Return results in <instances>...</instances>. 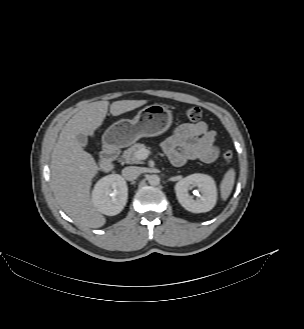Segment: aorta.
Wrapping results in <instances>:
<instances>
[{
    "mask_svg": "<svg viewBox=\"0 0 304 329\" xmlns=\"http://www.w3.org/2000/svg\"><path fill=\"white\" fill-rule=\"evenodd\" d=\"M148 182L152 186H157L160 184V177L156 174L150 175L148 177Z\"/></svg>",
    "mask_w": 304,
    "mask_h": 329,
    "instance_id": "aorta-1",
    "label": "aorta"
}]
</instances>
